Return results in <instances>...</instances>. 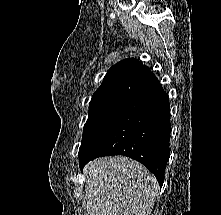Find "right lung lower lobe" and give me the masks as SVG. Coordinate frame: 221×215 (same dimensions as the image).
Wrapping results in <instances>:
<instances>
[{"label":"right lung lower lobe","instance_id":"right-lung-lower-lobe-1","mask_svg":"<svg viewBox=\"0 0 221 215\" xmlns=\"http://www.w3.org/2000/svg\"><path fill=\"white\" fill-rule=\"evenodd\" d=\"M170 131L169 99L159 83L130 102L92 151L79 158V166L97 157L124 155L145 165L162 185Z\"/></svg>","mask_w":221,"mask_h":215}]
</instances>
